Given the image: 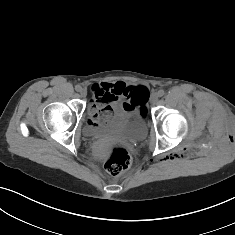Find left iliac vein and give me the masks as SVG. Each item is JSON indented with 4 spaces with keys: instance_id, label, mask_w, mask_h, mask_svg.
Listing matches in <instances>:
<instances>
[{
    "instance_id": "1",
    "label": "left iliac vein",
    "mask_w": 235,
    "mask_h": 235,
    "mask_svg": "<svg viewBox=\"0 0 235 235\" xmlns=\"http://www.w3.org/2000/svg\"><path fill=\"white\" fill-rule=\"evenodd\" d=\"M158 101V94L157 93H152L150 97V102L151 104H156Z\"/></svg>"
}]
</instances>
